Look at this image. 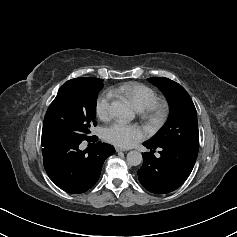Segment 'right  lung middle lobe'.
<instances>
[{"label":"right lung middle lobe","mask_w":237,"mask_h":237,"mask_svg":"<svg viewBox=\"0 0 237 237\" xmlns=\"http://www.w3.org/2000/svg\"><path fill=\"white\" fill-rule=\"evenodd\" d=\"M103 80L93 77L75 78L64 83L49 106L43 132L52 131L76 140L90 138V127L96 126V101Z\"/></svg>","instance_id":"right-lung-middle-lobe-1"}]
</instances>
